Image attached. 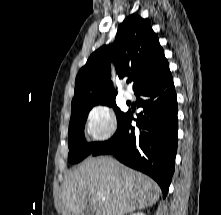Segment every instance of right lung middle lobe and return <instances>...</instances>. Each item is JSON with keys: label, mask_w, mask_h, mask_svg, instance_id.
<instances>
[{"label": "right lung middle lobe", "mask_w": 221, "mask_h": 215, "mask_svg": "<svg viewBox=\"0 0 221 215\" xmlns=\"http://www.w3.org/2000/svg\"><path fill=\"white\" fill-rule=\"evenodd\" d=\"M95 105H107L114 107L118 123L121 121L125 113L121 112L115 103V99H110L94 103L73 104L71 119L68 132L69 154L68 160L70 163H78L90 155L102 142L87 143L84 138V126L89 111Z\"/></svg>", "instance_id": "right-lung-middle-lobe-1"}]
</instances>
